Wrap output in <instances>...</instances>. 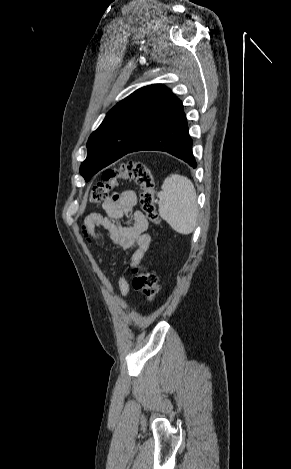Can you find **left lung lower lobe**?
<instances>
[{"label": "left lung lower lobe", "mask_w": 291, "mask_h": 469, "mask_svg": "<svg viewBox=\"0 0 291 469\" xmlns=\"http://www.w3.org/2000/svg\"><path fill=\"white\" fill-rule=\"evenodd\" d=\"M143 150L170 153L185 161L191 167L196 168L197 164L192 152V140L189 136L187 119L182 103L163 123L145 135L122 156Z\"/></svg>", "instance_id": "0a47b994"}]
</instances>
